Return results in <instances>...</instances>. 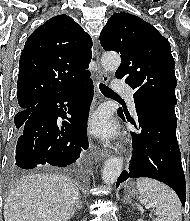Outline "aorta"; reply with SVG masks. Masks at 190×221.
I'll return each instance as SVG.
<instances>
[{
	"mask_svg": "<svg viewBox=\"0 0 190 221\" xmlns=\"http://www.w3.org/2000/svg\"><path fill=\"white\" fill-rule=\"evenodd\" d=\"M101 63L106 71L114 72L118 69L121 59L116 53H105L101 58ZM123 169L121 158H109L102 171V179L106 184H113L120 176Z\"/></svg>",
	"mask_w": 190,
	"mask_h": 221,
	"instance_id": "aorta-1",
	"label": "aorta"
}]
</instances>
